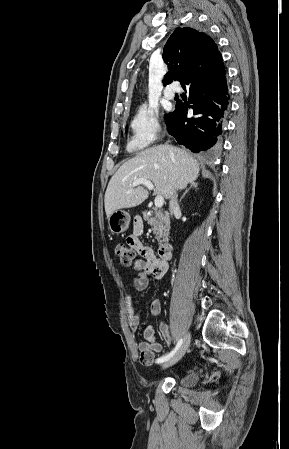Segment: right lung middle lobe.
<instances>
[{"label": "right lung middle lobe", "mask_w": 289, "mask_h": 449, "mask_svg": "<svg viewBox=\"0 0 289 449\" xmlns=\"http://www.w3.org/2000/svg\"><path fill=\"white\" fill-rule=\"evenodd\" d=\"M169 116H170V113L168 114V115H165V120H166V123L168 122V120H169Z\"/></svg>", "instance_id": "obj_1"}]
</instances>
